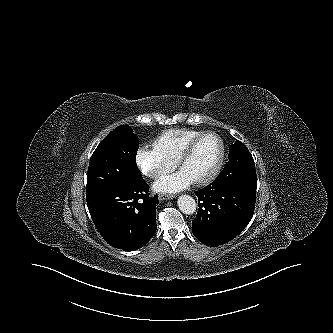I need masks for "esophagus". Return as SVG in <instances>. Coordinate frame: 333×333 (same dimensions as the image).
Instances as JSON below:
<instances>
[{"mask_svg": "<svg viewBox=\"0 0 333 333\" xmlns=\"http://www.w3.org/2000/svg\"><path fill=\"white\" fill-rule=\"evenodd\" d=\"M159 200H169V199H173L174 198V195H171V194H160L159 195Z\"/></svg>", "mask_w": 333, "mask_h": 333, "instance_id": "1", "label": "esophagus"}]
</instances>
